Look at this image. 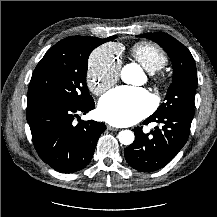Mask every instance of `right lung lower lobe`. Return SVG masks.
I'll list each match as a JSON object with an SVG mask.
<instances>
[{
  "instance_id": "98d812e1",
  "label": "right lung lower lobe",
  "mask_w": 217,
  "mask_h": 217,
  "mask_svg": "<svg viewBox=\"0 0 217 217\" xmlns=\"http://www.w3.org/2000/svg\"><path fill=\"white\" fill-rule=\"evenodd\" d=\"M94 106L93 100L81 106L59 103L27 106L26 116L35 149L54 170L61 173L77 172L91 160L106 126L93 120L76 124L74 120Z\"/></svg>"
}]
</instances>
